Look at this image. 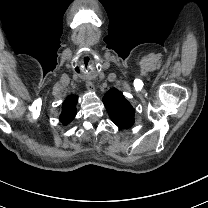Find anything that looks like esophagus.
Instances as JSON below:
<instances>
[{
    "label": "esophagus",
    "instance_id": "esophagus-1",
    "mask_svg": "<svg viewBox=\"0 0 208 208\" xmlns=\"http://www.w3.org/2000/svg\"><path fill=\"white\" fill-rule=\"evenodd\" d=\"M86 88H87V90L90 91V92H95V87H94V85H93L92 82H87V83H86Z\"/></svg>",
    "mask_w": 208,
    "mask_h": 208
}]
</instances>
